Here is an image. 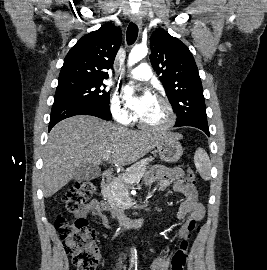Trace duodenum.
<instances>
[{
    "instance_id": "obj_1",
    "label": "duodenum",
    "mask_w": 267,
    "mask_h": 270,
    "mask_svg": "<svg viewBox=\"0 0 267 270\" xmlns=\"http://www.w3.org/2000/svg\"><path fill=\"white\" fill-rule=\"evenodd\" d=\"M112 179V173L111 171L107 170L103 173L102 178H101V187L105 189L111 182ZM112 212L113 214L119 219L120 223L129 229H142L144 224H145V218H137V219H126L121 215V212L115 208L112 207Z\"/></svg>"
}]
</instances>
